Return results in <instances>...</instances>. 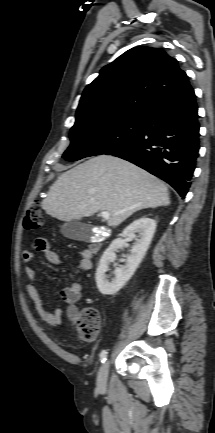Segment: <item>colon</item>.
I'll return each instance as SVG.
<instances>
[{"mask_svg": "<svg viewBox=\"0 0 215 433\" xmlns=\"http://www.w3.org/2000/svg\"><path fill=\"white\" fill-rule=\"evenodd\" d=\"M43 223L40 206L37 203L32 204L24 217V229L26 231H35L41 228ZM100 325L99 312L93 307L84 308L80 314L78 322V334L81 340H92Z\"/></svg>", "mask_w": 215, "mask_h": 433, "instance_id": "colon-1", "label": "colon"}]
</instances>
